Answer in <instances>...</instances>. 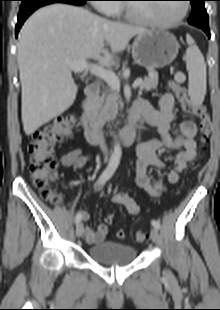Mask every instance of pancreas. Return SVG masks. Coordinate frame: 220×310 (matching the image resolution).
<instances>
[{
    "label": "pancreas",
    "instance_id": "cf45deb5",
    "mask_svg": "<svg viewBox=\"0 0 220 310\" xmlns=\"http://www.w3.org/2000/svg\"><path fill=\"white\" fill-rule=\"evenodd\" d=\"M158 85V73L150 69L149 76L146 77L141 85L140 90L150 91L156 89ZM119 105L121 106V100L118 93L111 89L106 90L101 97H98L94 103L93 113L101 121H109L114 119L118 113Z\"/></svg>",
    "mask_w": 220,
    "mask_h": 310
}]
</instances>
